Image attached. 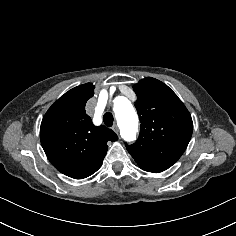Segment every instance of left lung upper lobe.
Returning a JSON list of instances; mask_svg holds the SVG:
<instances>
[{"instance_id":"5c2ea615","label":"left lung upper lobe","mask_w":236,"mask_h":236,"mask_svg":"<svg viewBox=\"0 0 236 236\" xmlns=\"http://www.w3.org/2000/svg\"><path fill=\"white\" fill-rule=\"evenodd\" d=\"M133 89L141 126L138 140L127 150L141 169L162 172L187 148L193 132L191 115L177 95L155 78H144Z\"/></svg>"}]
</instances>
